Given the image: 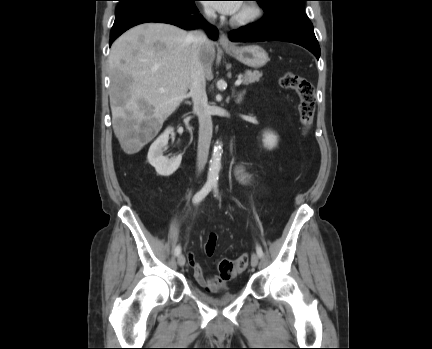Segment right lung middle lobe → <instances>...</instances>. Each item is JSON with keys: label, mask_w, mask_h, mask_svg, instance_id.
Here are the masks:
<instances>
[{"label": "right lung middle lobe", "mask_w": 432, "mask_h": 349, "mask_svg": "<svg viewBox=\"0 0 432 349\" xmlns=\"http://www.w3.org/2000/svg\"><path fill=\"white\" fill-rule=\"evenodd\" d=\"M119 1H120V3H123V2H127L129 0H119Z\"/></svg>", "instance_id": "right-lung-middle-lobe-1"}]
</instances>
